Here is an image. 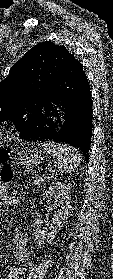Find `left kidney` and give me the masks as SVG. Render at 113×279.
I'll list each match as a JSON object with an SVG mask.
<instances>
[{
    "label": "left kidney",
    "instance_id": "left-kidney-1",
    "mask_svg": "<svg viewBox=\"0 0 113 279\" xmlns=\"http://www.w3.org/2000/svg\"><path fill=\"white\" fill-rule=\"evenodd\" d=\"M53 194H56L57 198L60 200V209L55 211L51 227L48 229H42L43 222L40 219L39 214H37L38 218L33 223L35 241L39 247H44L46 243L52 242L59 230L63 227L71 208L70 184L55 182L53 185L49 186V188L42 194L41 198L42 200L51 199Z\"/></svg>",
    "mask_w": 113,
    "mask_h": 279
}]
</instances>
